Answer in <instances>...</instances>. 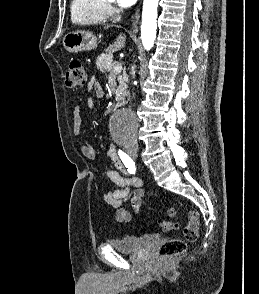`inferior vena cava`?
<instances>
[{"label":"inferior vena cava","mask_w":259,"mask_h":294,"mask_svg":"<svg viewBox=\"0 0 259 294\" xmlns=\"http://www.w3.org/2000/svg\"><path fill=\"white\" fill-rule=\"evenodd\" d=\"M134 143L137 144V140H135Z\"/></svg>","instance_id":"1"}]
</instances>
